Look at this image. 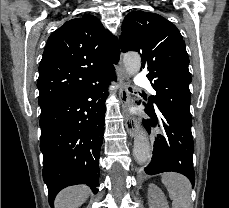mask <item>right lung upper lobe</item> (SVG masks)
I'll return each mask as SVG.
<instances>
[{
	"mask_svg": "<svg viewBox=\"0 0 229 208\" xmlns=\"http://www.w3.org/2000/svg\"><path fill=\"white\" fill-rule=\"evenodd\" d=\"M118 41L95 16L71 19L48 38L39 65V105L58 103L114 72Z\"/></svg>",
	"mask_w": 229,
	"mask_h": 208,
	"instance_id": "right-lung-upper-lobe-1",
	"label": "right lung upper lobe"
}]
</instances>
